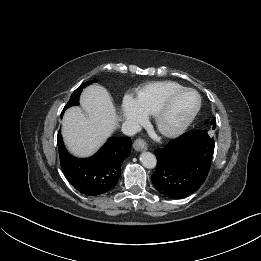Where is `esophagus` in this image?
<instances>
[{"mask_svg":"<svg viewBox=\"0 0 261 261\" xmlns=\"http://www.w3.org/2000/svg\"><path fill=\"white\" fill-rule=\"evenodd\" d=\"M133 147L137 151H145L148 148L147 143L143 139L135 140L133 143Z\"/></svg>","mask_w":261,"mask_h":261,"instance_id":"esophagus-1","label":"esophagus"}]
</instances>
